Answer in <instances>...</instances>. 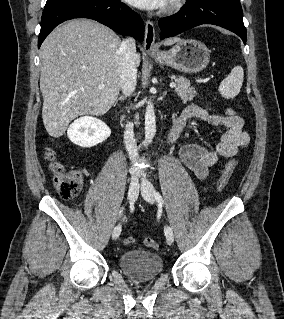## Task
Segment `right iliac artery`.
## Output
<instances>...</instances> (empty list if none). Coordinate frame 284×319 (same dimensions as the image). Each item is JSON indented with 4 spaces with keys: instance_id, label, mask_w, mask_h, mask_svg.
Returning <instances> with one entry per match:
<instances>
[{
    "instance_id": "obj_1",
    "label": "right iliac artery",
    "mask_w": 284,
    "mask_h": 319,
    "mask_svg": "<svg viewBox=\"0 0 284 319\" xmlns=\"http://www.w3.org/2000/svg\"><path fill=\"white\" fill-rule=\"evenodd\" d=\"M123 209L120 211L119 215L121 216Z\"/></svg>"
}]
</instances>
